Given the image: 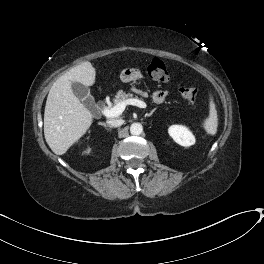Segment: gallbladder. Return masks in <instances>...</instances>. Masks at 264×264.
<instances>
[{"mask_svg":"<svg viewBox=\"0 0 264 264\" xmlns=\"http://www.w3.org/2000/svg\"><path fill=\"white\" fill-rule=\"evenodd\" d=\"M71 86L75 96L83 102L84 106L88 109H93L95 100L90 94L89 88L78 82H72Z\"/></svg>","mask_w":264,"mask_h":264,"instance_id":"obj_1","label":"gallbladder"}]
</instances>
